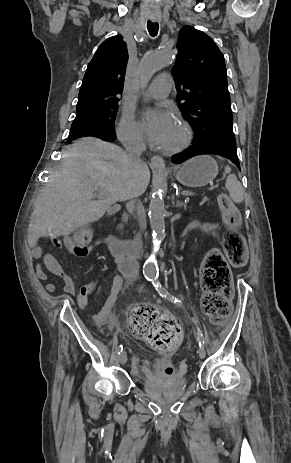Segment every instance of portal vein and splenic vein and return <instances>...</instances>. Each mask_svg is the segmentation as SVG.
Wrapping results in <instances>:
<instances>
[{
    "label": "portal vein and splenic vein",
    "instance_id": "18ae733b",
    "mask_svg": "<svg viewBox=\"0 0 291 463\" xmlns=\"http://www.w3.org/2000/svg\"><path fill=\"white\" fill-rule=\"evenodd\" d=\"M184 195L186 196H192L194 193L190 192V191H183L182 192Z\"/></svg>",
    "mask_w": 291,
    "mask_h": 463
}]
</instances>
